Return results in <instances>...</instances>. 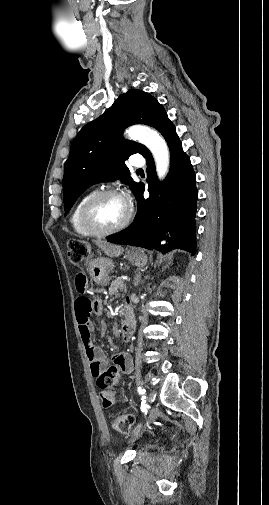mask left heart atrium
Wrapping results in <instances>:
<instances>
[{
	"instance_id": "1",
	"label": "left heart atrium",
	"mask_w": 269,
	"mask_h": 505,
	"mask_svg": "<svg viewBox=\"0 0 269 505\" xmlns=\"http://www.w3.org/2000/svg\"><path fill=\"white\" fill-rule=\"evenodd\" d=\"M121 198L124 201L125 205L128 207L129 206V197L126 193L121 194Z\"/></svg>"
}]
</instances>
